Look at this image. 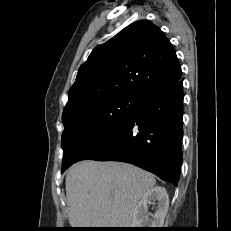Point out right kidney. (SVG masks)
<instances>
[{
	"instance_id": "1",
	"label": "right kidney",
	"mask_w": 231,
	"mask_h": 231,
	"mask_svg": "<svg viewBox=\"0 0 231 231\" xmlns=\"http://www.w3.org/2000/svg\"><path fill=\"white\" fill-rule=\"evenodd\" d=\"M156 204L152 219L148 217V204ZM169 208V196L164 187L156 186L147 191L136 205L132 216L133 228H161Z\"/></svg>"
}]
</instances>
